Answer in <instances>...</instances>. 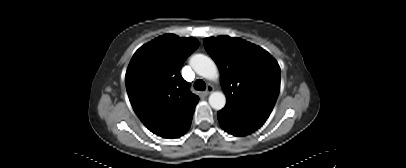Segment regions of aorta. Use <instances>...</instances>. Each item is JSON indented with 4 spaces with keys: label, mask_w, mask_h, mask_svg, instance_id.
I'll list each match as a JSON object with an SVG mask.
<instances>
[{
    "label": "aorta",
    "mask_w": 406,
    "mask_h": 168,
    "mask_svg": "<svg viewBox=\"0 0 406 168\" xmlns=\"http://www.w3.org/2000/svg\"><path fill=\"white\" fill-rule=\"evenodd\" d=\"M190 65L194 71L209 80L218 77V69L214 61L206 55L195 54L190 59ZM209 104L215 110H221L226 104V97L222 92H213L209 96Z\"/></svg>",
    "instance_id": "762f6f07"
}]
</instances>
